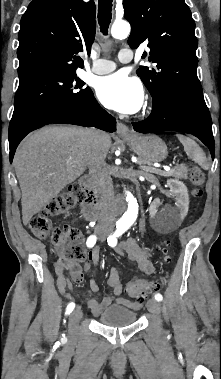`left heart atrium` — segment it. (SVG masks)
I'll return each mask as SVG.
<instances>
[{
    "label": "left heart atrium",
    "mask_w": 221,
    "mask_h": 379,
    "mask_svg": "<svg viewBox=\"0 0 221 379\" xmlns=\"http://www.w3.org/2000/svg\"><path fill=\"white\" fill-rule=\"evenodd\" d=\"M96 93L105 107L124 114L137 112L144 101V92L140 81L124 72L100 79Z\"/></svg>",
    "instance_id": "left-heart-atrium-1"
}]
</instances>
